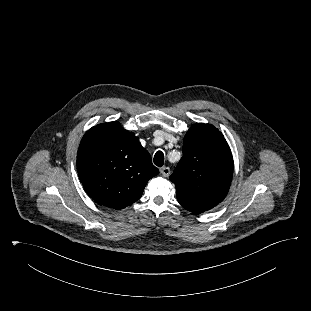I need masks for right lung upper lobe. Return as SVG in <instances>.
Instances as JSON below:
<instances>
[{"label": "right lung upper lobe", "mask_w": 311, "mask_h": 311, "mask_svg": "<svg viewBox=\"0 0 311 311\" xmlns=\"http://www.w3.org/2000/svg\"><path fill=\"white\" fill-rule=\"evenodd\" d=\"M77 170L87 194L116 210L137 201L159 170L138 137L119 122L96 125L83 136Z\"/></svg>", "instance_id": "cb5924a9"}]
</instances>
